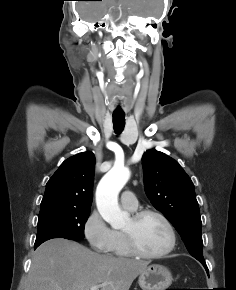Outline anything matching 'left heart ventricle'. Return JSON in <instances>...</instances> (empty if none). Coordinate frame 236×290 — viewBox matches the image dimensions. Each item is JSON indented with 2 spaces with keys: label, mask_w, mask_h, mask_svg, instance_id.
Instances as JSON below:
<instances>
[{
  "label": "left heart ventricle",
  "mask_w": 236,
  "mask_h": 290,
  "mask_svg": "<svg viewBox=\"0 0 236 290\" xmlns=\"http://www.w3.org/2000/svg\"><path fill=\"white\" fill-rule=\"evenodd\" d=\"M124 231H132L140 249L151 254L166 249L170 240L164 223L153 215L144 217L137 224L130 218Z\"/></svg>",
  "instance_id": "1"
}]
</instances>
